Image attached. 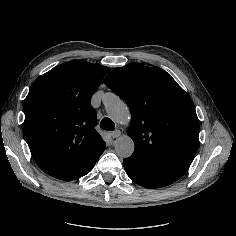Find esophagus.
<instances>
[{
  "label": "esophagus",
  "mask_w": 236,
  "mask_h": 236,
  "mask_svg": "<svg viewBox=\"0 0 236 236\" xmlns=\"http://www.w3.org/2000/svg\"><path fill=\"white\" fill-rule=\"evenodd\" d=\"M121 135V131L120 130H115L114 132H112V138H117Z\"/></svg>",
  "instance_id": "1"
}]
</instances>
